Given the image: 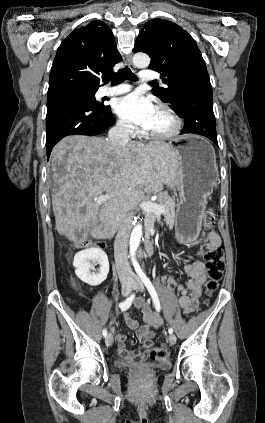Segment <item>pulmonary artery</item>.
<instances>
[{
  "label": "pulmonary artery",
  "instance_id": "obj_1",
  "mask_svg": "<svg viewBox=\"0 0 265 423\" xmlns=\"http://www.w3.org/2000/svg\"><path fill=\"white\" fill-rule=\"evenodd\" d=\"M159 75L151 70H143L140 79L144 82H152L153 80L157 79ZM131 86L127 84H120L118 86H115L113 88H104L101 91V94L103 96H114V95H120L124 94L128 91H130Z\"/></svg>",
  "mask_w": 265,
  "mask_h": 423
}]
</instances>
